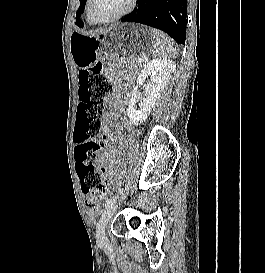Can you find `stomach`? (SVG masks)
Instances as JSON below:
<instances>
[{
    "label": "stomach",
    "mask_w": 265,
    "mask_h": 273,
    "mask_svg": "<svg viewBox=\"0 0 265 273\" xmlns=\"http://www.w3.org/2000/svg\"><path fill=\"white\" fill-rule=\"evenodd\" d=\"M156 30L149 25H106V30H98V35L74 32L70 39V52L79 67L97 61L100 56H114L102 59V64H130L137 56H153L158 45ZM104 49H129L130 51H101Z\"/></svg>",
    "instance_id": "stomach-1"
}]
</instances>
